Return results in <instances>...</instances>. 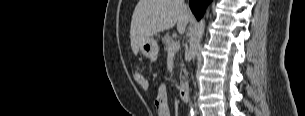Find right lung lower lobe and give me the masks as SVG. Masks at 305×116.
<instances>
[{
	"label": "right lung lower lobe",
	"instance_id": "1",
	"mask_svg": "<svg viewBox=\"0 0 305 116\" xmlns=\"http://www.w3.org/2000/svg\"><path fill=\"white\" fill-rule=\"evenodd\" d=\"M211 0H190L189 6L199 20Z\"/></svg>",
	"mask_w": 305,
	"mask_h": 116
}]
</instances>
